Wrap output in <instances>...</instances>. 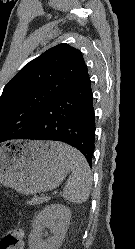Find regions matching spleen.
Returning a JSON list of instances; mask_svg holds the SVG:
<instances>
[{
	"mask_svg": "<svg viewBox=\"0 0 135 249\" xmlns=\"http://www.w3.org/2000/svg\"><path fill=\"white\" fill-rule=\"evenodd\" d=\"M52 149L69 160L72 174L63 189L66 200L82 204L89 198L92 174L85 157L77 149L59 142H52Z\"/></svg>",
	"mask_w": 135,
	"mask_h": 249,
	"instance_id": "spleen-1",
	"label": "spleen"
}]
</instances>
